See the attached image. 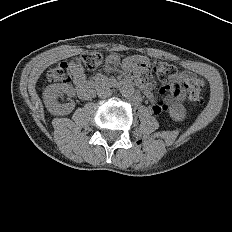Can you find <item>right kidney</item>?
<instances>
[{
  "label": "right kidney",
  "instance_id": "1",
  "mask_svg": "<svg viewBox=\"0 0 232 232\" xmlns=\"http://www.w3.org/2000/svg\"><path fill=\"white\" fill-rule=\"evenodd\" d=\"M67 94L68 96H74L75 90L72 86L67 84H51L48 85L43 92V102L47 110L55 116H64L70 114L74 108L75 103L71 100L69 103L61 104L57 101V98Z\"/></svg>",
  "mask_w": 232,
  "mask_h": 232
}]
</instances>
